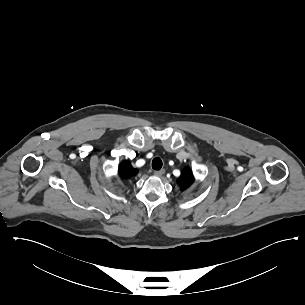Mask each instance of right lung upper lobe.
<instances>
[{"instance_id":"obj_1","label":"right lung upper lobe","mask_w":305,"mask_h":305,"mask_svg":"<svg viewBox=\"0 0 305 305\" xmlns=\"http://www.w3.org/2000/svg\"><path fill=\"white\" fill-rule=\"evenodd\" d=\"M137 172H138V170L134 169L131 166V163L129 161H123L119 166L120 176L124 179H128V178L136 175Z\"/></svg>"}]
</instances>
